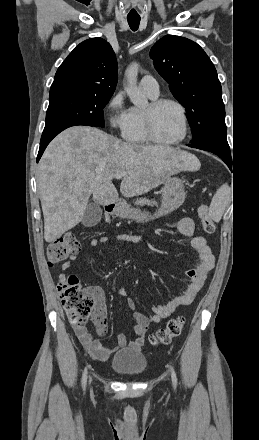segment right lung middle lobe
Returning a JSON list of instances; mask_svg holds the SVG:
<instances>
[{
  "label": "right lung middle lobe",
  "mask_w": 259,
  "mask_h": 440,
  "mask_svg": "<svg viewBox=\"0 0 259 440\" xmlns=\"http://www.w3.org/2000/svg\"><path fill=\"white\" fill-rule=\"evenodd\" d=\"M111 96L78 91L50 95L44 131L68 123L104 127L103 108Z\"/></svg>",
  "instance_id": "dd1d6c3e"
}]
</instances>
